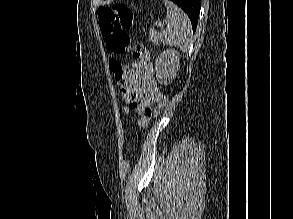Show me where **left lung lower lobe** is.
Wrapping results in <instances>:
<instances>
[{
  "label": "left lung lower lobe",
  "instance_id": "left-lung-lower-lobe-1",
  "mask_svg": "<svg viewBox=\"0 0 293 219\" xmlns=\"http://www.w3.org/2000/svg\"><path fill=\"white\" fill-rule=\"evenodd\" d=\"M181 7L188 15L192 23L193 32H195L201 8V0H171Z\"/></svg>",
  "mask_w": 293,
  "mask_h": 219
}]
</instances>
